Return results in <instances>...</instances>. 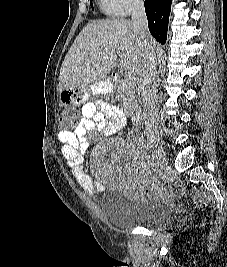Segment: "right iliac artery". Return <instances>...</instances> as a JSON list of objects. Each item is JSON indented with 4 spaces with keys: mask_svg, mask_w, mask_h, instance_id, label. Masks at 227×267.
Wrapping results in <instances>:
<instances>
[{
    "mask_svg": "<svg viewBox=\"0 0 227 267\" xmlns=\"http://www.w3.org/2000/svg\"><path fill=\"white\" fill-rule=\"evenodd\" d=\"M156 158H157V156L153 153L152 155H151V161H152V165L154 166L155 164H156Z\"/></svg>",
    "mask_w": 227,
    "mask_h": 267,
    "instance_id": "1",
    "label": "right iliac artery"
}]
</instances>
